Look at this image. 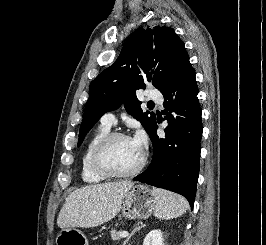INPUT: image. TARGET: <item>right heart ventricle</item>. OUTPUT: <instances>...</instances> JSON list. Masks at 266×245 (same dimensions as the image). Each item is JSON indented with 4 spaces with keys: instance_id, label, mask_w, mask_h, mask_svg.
<instances>
[{
    "instance_id": "right-heart-ventricle-1",
    "label": "right heart ventricle",
    "mask_w": 266,
    "mask_h": 245,
    "mask_svg": "<svg viewBox=\"0 0 266 245\" xmlns=\"http://www.w3.org/2000/svg\"><path fill=\"white\" fill-rule=\"evenodd\" d=\"M111 126L100 123L89 136L80 161L81 180L88 185H97L105 181V178L98 175L92 166V152L97 143L110 132Z\"/></svg>"
}]
</instances>
